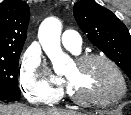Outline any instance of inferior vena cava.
<instances>
[{"mask_svg":"<svg viewBox=\"0 0 131 115\" xmlns=\"http://www.w3.org/2000/svg\"><path fill=\"white\" fill-rule=\"evenodd\" d=\"M29 102H32V103H37L36 101L30 100V99H29Z\"/></svg>","mask_w":131,"mask_h":115,"instance_id":"obj_1","label":"inferior vena cava"}]
</instances>
